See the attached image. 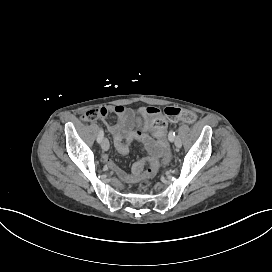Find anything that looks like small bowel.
<instances>
[{"label": "small bowel", "instance_id": "1", "mask_svg": "<svg viewBox=\"0 0 272 272\" xmlns=\"http://www.w3.org/2000/svg\"><path fill=\"white\" fill-rule=\"evenodd\" d=\"M110 111L116 115V121L109 123L105 120L104 123L118 153L121 155L128 154L130 150L129 143L133 140H138L142 143L143 150L148 154V157L143 161L135 163L131 173L122 171L108 156H104L105 166L123 182L135 184L146 175L145 166L147 164H156L162 155L158 143L146 131V125L151 124L145 117L147 109H131L117 105L112 107ZM137 117L143 118L144 125L135 128L134 121ZM120 172L123 174L121 177L118 175Z\"/></svg>", "mask_w": 272, "mask_h": 272}]
</instances>
